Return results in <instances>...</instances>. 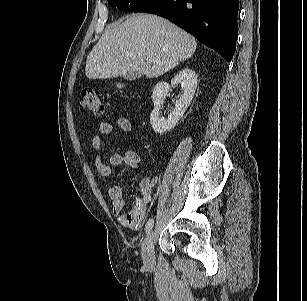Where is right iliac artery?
Returning a JSON list of instances; mask_svg holds the SVG:
<instances>
[{
    "label": "right iliac artery",
    "mask_w": 307,
    "mask_h": 301,
    "mask_svg": "<svg viewBox=\"0 0 307 301\" xmlns=\"http://www.w3.org/2000/svg\"><path fill=\"white\" fill-rule=\"evenodd\" d=\"M153 225H154V220L149 219L148 222L146 223V226H145V232L149 233L150 230L152 229Z\"/></svg>",
    "instance_id": "1"
}]
</instances>
